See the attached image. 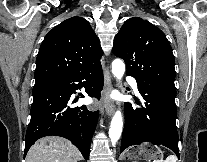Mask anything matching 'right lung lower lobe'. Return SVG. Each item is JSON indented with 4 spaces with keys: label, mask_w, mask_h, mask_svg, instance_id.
<instances>
[{
    "label": "right lung lower lobe",
    "mask_w": 207,
    "mask_h": 162,
    "mask_svg": "<svg viewBox=\"0 0 207 162\" xmlns=\"http://www.w3.org/2000/svg\"><path fill=\"white\" fill-rule=\"evenodd\" d=\"M85 87L91 97L100 98L103 87L101 64L91 69L34 86L31 120L25 137L24 157L31 145L41 137L55 135L67 138L89 160L90 143L98 120V112L85 105L72 107L71 95Z\"/></svg>",
    "instance_id": "right-lung-lower-lobe-1"
}]
</instances>
